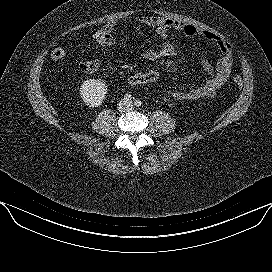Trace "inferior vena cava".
<instances>
[{
	"mask_svg": "<svg viewBox=\"0 0 272 272\" xmlns=\"http://www.w3.org/2000/svg\"><path fill=\"white\" fill-rule=\"evenodd\" d=\"M123 104H125V103H123V102H120V103H119V109H120V110H122ZM126 104H127L128 106H127V108L124 109V110H130V105H131L130 102H126Z\"/></svg>",
	"mask_w": 272,
	"mask_h": 272,
	"instance_id": "obj_1",
	"label": "inferior vena cava"
}]
</instances>
